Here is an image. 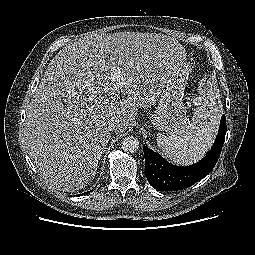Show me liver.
Returning a JSON list of instances; mask_svg holds the SVG:
<instances>
[{
    "mask_svg": "<svg viewBox=\"0 0 255 255\" xmlns=\"http://www.w3.org/2000/svg\"><path fill=\"white\" fill-rule=\"evenodd\" d=\"M186 60V50L164 34L118 32L83 37L49 63L29 104L26 148L51 187L77 191L95 177L111 137L124 132L139 108L158 100ZM121 68L123 85L112 79Z\"/></svg>",
    "mask_w": 255,
    "mask_h": 255,
    "instance_id": "1",
    "label": "liver"
}]
</instances>
